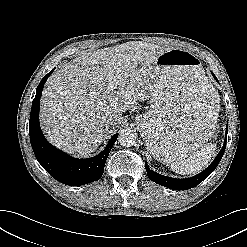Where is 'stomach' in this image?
I'll return each instance as SVG.
<instances>
[{
  "mask_svg": "<svg viewBox=\"0 0 247 247\" xmlns=\"http://www.w3.org/2000/svg\"><path fill=\"white\" fill-rule=\"evenodd\" d=\"M155 67L158 75L150 110L136 118V125L147 150L169 164L185 159L211 137L218 97L200 60L190 51H165Z\"/></svg>",
  "mask_w": 247,
  "mask_h": 247,
  "instance_id": "0dacf381",
  "label": "stomach"
}]
</instances>
